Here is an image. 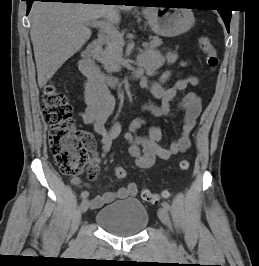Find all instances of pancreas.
Instances as JSON below:
<instances>
[{
  "label": "pancreas",
  "mask_w": 259,
  "mask_h": 266,
  "mask_svg": "<svg viewBox=\"0 0 259 266\" xmlns=\"http://www.w3.org/2000/svg\"><path fill=\"white\" fill-rule=\"evenodd\" d=\"M123 38L109 37L104 51L99 55L98 61L103 64L104 69L108 73L119 72L121 66H124L125 60L123 59ZM162 44V40L154 36L150 42V48L155 49Z\"/></svg>",
  "instance_id": "obj_1"
}]
</instances>
